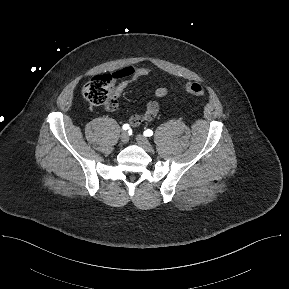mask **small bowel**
Listing matches in <instances>:
<instances>
[{
    "mask_svg": "<svg viewBox=\"0 0 289 289\" xmlns=\"http://www.w3.org/2000/svg\"><path fill=\"white\" fill-rule=\"evenodd\" d=\"M151 72L148 67H133L127 66L123 67L113 73V84L111 86V96L116 100V98L126 89L130 82L133 80L146 76ZM156 98H164L168 94V90L164 87L156 88L153 92ZM159 111V105L156 101H150L143 112L139 114L132 115L129 119V123L133 127L139 126L145 121H150L154 119Z\"/></svg>",
    "mask_w": 289,
    "mask_h": 289,
    "instance_id": "c3829d8e",
    "label": "small bowel"
}]
</instances>
